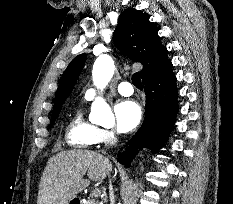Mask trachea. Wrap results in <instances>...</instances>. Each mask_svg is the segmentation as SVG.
Listing matches in <instances>:
<instances>
[{"label":"trachea","instance_id":"1","mask_svg":"<svg viewBox=\"0 0 233 204\" xmlns=\"http://www.w3.org/2000/svg\"><path fill=\"white\" fill-rule=\"evenodd\" d=\"M132 83L139 89L143 88L139 72H136L132 75Z\"/></svg>","mask_w":233,"mask_h":204}]
</instances>
